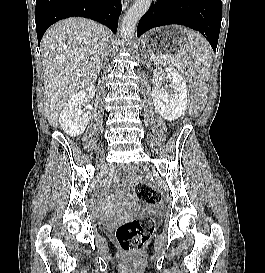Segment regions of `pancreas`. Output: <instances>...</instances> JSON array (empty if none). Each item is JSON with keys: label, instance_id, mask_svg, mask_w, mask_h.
Masks as SVG:
<instances>
[{"label": "pancreas", "instance_id": "pancreas-1", "mask_svg": "<svg viewBox=\"0 0 265 273\" xmlns=\"http://www.w3.org/2000/svg\"><path fill=\"white\" fill-rule=\"evenodd\" d=\"M167 63H172V64H175L176 62H173V61H167Z\"/></svg>", "mask_w": 265, "mask_h": 273}]
</instances>
